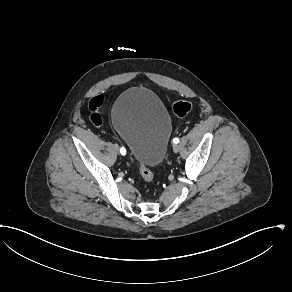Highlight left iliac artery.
<instances>
[{"instance_id":"left-iliac-artery-1","label":"left iliac artery","mask_w":292,"mask_h":292,"mask_svg":"<svg viewBox=\"0 0 292 292\" xmlns=\"http://www.w3.org/2000/svg\"><path fill=\"white\" fill-rule=\"evenodd\" d=\"M173 142H174L175 144H177V143L179 142V139H178V138H174V139H173Z\"/></svg>"}]
</instances>
